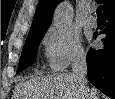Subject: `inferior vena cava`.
Returning a JSON list of instances; mask_svg holds the SVG:
<instances>
[{"label":"inferior vena cava","mask_w":115,"mask_h":99,"mask_svg":"<svg viewBox=\"0 0 115 99\" xmlns=\"http://www.w3.org/2000/svg\"><path fill=\"white\" fill-rule=\"evenodd\" d=\"M86 74H87L86 54L80 53L73 60L72 75L81 93V99H90L89 88L87 86V80H86Z\"/></svg>","instance_id":"602c4592"}]
</instances>
